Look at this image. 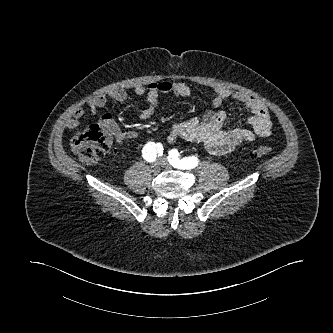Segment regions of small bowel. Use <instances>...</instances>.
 I'll return each instance as SVG.
<instances>
[{"instance_id": "1", "label": "small bowel", "mask_w": 333, "mask_h": 333, "mask_svg": "<svg viewBox=\"0 0 333 333\" xmlns=\"http://www.w3.org/2000/svg\"><path fill=\"white\" fill-rule=\"evenodd\" d=\"M134 93L145 98L147 106L141 111L139 117L141 120H148L157 109L159 94L188 97L191 90L184 82L162 80L151 82L147 86L138 85L134 88ZM109 98L122 103L127 100L128 94L123 89H114L108 94L97 95L87 102L90 113H95L98 109L104 108ZM230 98L243 104L250 111L251 116L246 119L250 128L228 130L223 128L226 114L220 109V106ZM212 106L213 109L201 117L176 123L167 137L168 142L172 143L180 138L203 145L210 154L224 155L243 143L255 140L257 137L265 138L271 135L272 121L268 109L256 97L238 91H231L226 87H215ZM82 116L83 110L76 109L72 117L66 121V126L71 129L78 127ZM99 124L112 133L118 144L139 139V134L135 131H121L109 114L102 115Z\"/></svg>"}]
</instances>
